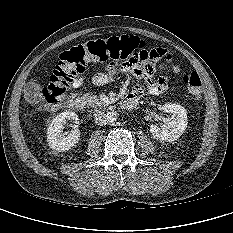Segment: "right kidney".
<instances>
[{"label": "right kidney", "instance_id": "obj_1", "mask_svg": "<svg viewBox=\"0 0 233 233\" xmlns=\"http://www.w3.org/2000/svg\"><path fill=\"white\" fill-rule=\"evenodd\" d=\"M68 120H74L73 130L63 133L64 124ZM78 124V116L75 112L65 111L57 115L47 129V142L50 148L58 152L71 149L80 140Z\"/></svg>", "mask_w": 233, "mask_h": 233}]
</instances>
